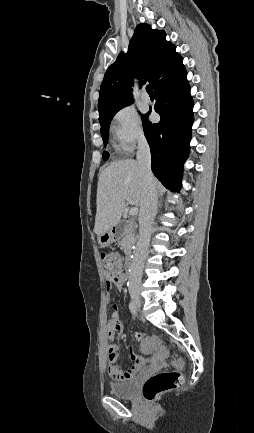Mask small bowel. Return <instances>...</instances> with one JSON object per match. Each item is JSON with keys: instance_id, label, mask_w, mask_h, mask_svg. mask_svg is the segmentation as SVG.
I'll return each instance as SVG.
<instances>
[{"instance_id": "1", "label": "small bowel", "mask_w": 254, "mask_h": 433, "mask_svg": "<svg viewBox=\"0 0 254 433\" xmlns=\"http://www.w3.org/2000/svg\"><path fill=\"white\" fill-rule=\"evenodd\" d=\"M125 285H126V279L120 281L109 280L106 282V287L108 290H110L113 286L116 287L118 290H122L124 289ZM122 330H123V326L120 321V314L118 311V307L114 306L113 312L106 324L107 336L109 338H112L115 335L120 334ZM133 337L138 341H142V342L145 341V336L139 331H135L133 333ZM117 351H118V346L115 343H108L106 345V353L109 361V365L107 369L108 375L110 376L111 379L115 381H125L133 378L141 370L144 364V357L136 354L130 348L129 353L132 359V366L127 370H123L116 364V361L118 359ZM151 363L153 365H158L161 363V360L153 359Z\"/></svg>"}]
</instances>
